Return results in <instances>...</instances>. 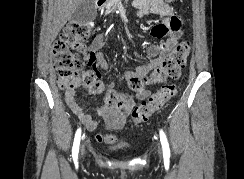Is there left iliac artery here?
Returning <instances> with one entry per match:
<instances>
[{"label": "left iliac artery", "instance_id": "44dca946", "mask_svg": "<svg viewBox=\"0 0 244 179\" xmlns=\"http://www.w3.org/2000/svg\"><path fill=\"white\" fill-rule=\"evenodd\" d=\"M160 141L163 147V155L164 156H170V148H169V144L166 138L165 133L163 132V130H160Z\"/></svg>", "mask_w": 244, "mask_h": 179}]
</instances>
